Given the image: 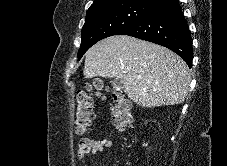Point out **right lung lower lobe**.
Listing matches in <instances>:
<instances>
[{
  "mask_svg": "<svg viewBox=\"0 0 227 166\" xmlns=\"http://www.w3.org/2000/svg\"><path fill=\"white\" fill-rule=\"evenodd\" d=\"M118 35H128L164 46L192 67L191 34L181 12L179 0H165Z\"/></svg>",
  "mask_w": 227,
  "mask_h": 166,
  "instance_id": "obj_1",
  "label": "right lung lower lobe"
}]
</instances>
